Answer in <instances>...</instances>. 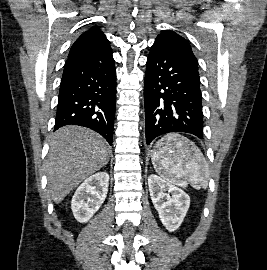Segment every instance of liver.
<instances>
[{
    "label": "liver",
    "instance_id": "1",
    "mask_svg": "<svg viewBox=\"0 0 267 270\" xmlns=\"http://www.w3.org/2000/svg\"><path fill=\"white\" fill-rule=\"evenodd\" d=\"M110 146L98 133L80 127L65 126L57 130L46 160L48 192L59 204L83 180L105 166Z\"/></svg>",
    "mask_w": 267,
    "mask_h": 270
}]
</instances>
